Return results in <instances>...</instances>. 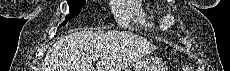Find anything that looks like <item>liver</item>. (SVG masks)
Returning <instances> with one entry per match:
<instances>
[{
    "instance_id": "6515ba94",
    "label": "liver",
    "mask_w": 230,
    "mask_h": 71,
    "mask_svg": "<svg viewBox=\"0 0 230 71\" xmlns=\"http://www.w3.org/2000/svg\"><path fill=\"white\" fill-rule=\"evenodd\" d=\"M153 50L154 45L131 33L76 31L47 52L42 71H121Z\"/></svg>"
}]
</instances>
